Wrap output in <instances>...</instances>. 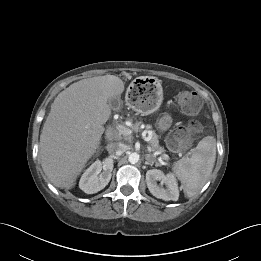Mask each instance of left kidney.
<instances>
[{
    "mask_svg": "<svg viewBox=\"0 0 261 261\" xmlns=\"http://www.w3.org/2000/svg\"><path fill=\"white\" fill-rule=\"evenodd\" d=\"M158 181L160 182L159 185ZM146 183L149 191L156 198L165 201H177L179 198L178 184L172 173L165 175L161 170H148L146 173Z\"/></svg>",
    "mask_w": 261,
    "mask_h": 261,
    "instance_id": "obj_1",
    "label": "left kidney"
}]
</instances>
